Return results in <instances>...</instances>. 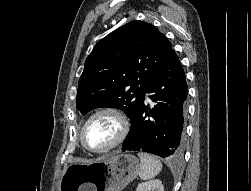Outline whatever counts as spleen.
Segmentation results:
<instances>
[{
  "instance_id": "1",
  "label": "spleen",
  "mask_w": 251,
  "mask_h": 191,
  "mask_svg": "<svg viewBox=\"0 0 251 191\" xmlns=\"http://www.w3.org/2000/svg\"><path fill=\"white\" fill-rule=\"evenodd\" d=\"M138 155L141 161L139 177H141V179H152V177L158 175L159 171L162 169V163L160 159L155 157V155L143 153V151H140Z\"/></svg>"
}]
</instances>
